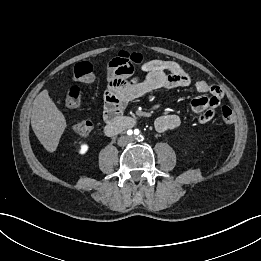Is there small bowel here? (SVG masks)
<instances>
[{
    "label": "small bowel",
    "instance_id": "1",
    "mask_svg": "<svg viewBox=\"0 0 261 261\" xmlns=\"http://www.w3.org/2000/svg\"><path fill=\"white\" fill-rule=\"evenodd\" d=\"M141 71L145 73L143 78L129 80L132 70L120 66L114 60L109 64L104 108L106 122L119 119L127 103L152 91L193 86L199 95L191 101V108L200 114L198 123L205 124L214 117L215 109L224 96L219 86L204 80L194 81L189 72L175 61L151 60L141 66ZM180 122L179 116L165 114L156 118L154 127L158 132H166L177 128Z\"/></svg>",
    "mask_w": 261,
    "mask_h": 261
}]
</instances>
